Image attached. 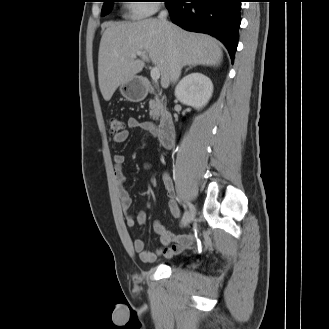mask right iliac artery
<instances>
[{"instance_id": "1", "label": "right iliac artery", "mask_w": 329, "mask_h": 329, "mask_svg": "<svg viewBox=\"0 0 329 329\" xmlns=\"http://www.w3.org/2000/svg\"><path fill=\"white\" fill-rule=\"evenodd\" d=\"M187 205H188L190 211L195 210L194 206L191 203L188 202Z\"/></svg>"}]
</instances>
